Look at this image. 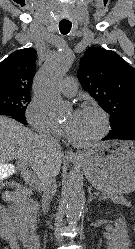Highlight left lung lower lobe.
Segmentation results:
<instances>
[{"instance_id": "obj_1", "label": "left lung lower lobe", "mask_w": 135, "mask_h": 249, "mask_svg": "<svg viewBox=\"0 0 135 249\" xmlns=\"http://www.w3.org/2000/svg\"><path fill=\"white\" fill-rule=\"evenodd\" d=\"M135 140V116L129 119V124L121 129L112 130L103 140Z\"/></svg>"}]
</instances>
